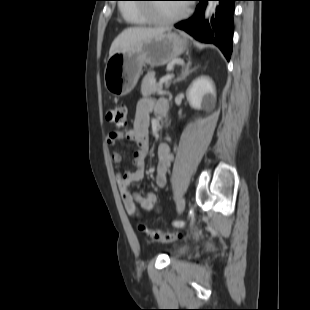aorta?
<instances>
[{"mask_svg":"<svg viewBox=\"0 0 310 310\" xmlns=\"http://www.w3.org/2000/svg\"><path fill=\"white\" fill-rule=\"evenodd\" d=\"M217 5H218V2H216V1L208 2L207 8L205 10V17L206 18L209 17V15L215 11V8Z\"/></svg>","mask_w":310,"mask_h":310,"instance_id":"1","label":"aorta"}]
</instances>
